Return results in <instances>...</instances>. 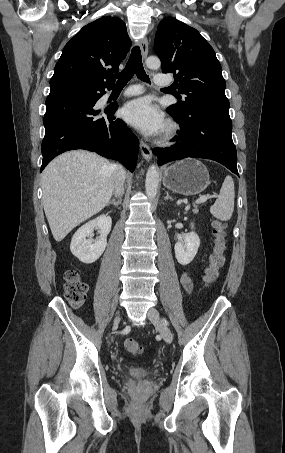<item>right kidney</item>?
<instances>
[{
	"label": "right kidney",
	"instance_id": "right-kidney-1",
	"mask_svg": "<svg viewBox=\"0 0 285 453\" xmlns=\"http://www.w3.org/2000/svg\"><path fill=\"white\" fill-rule=\"evenodd\" d=\"M111 226V217L105 214L81 226L71 240L70 250L72 254L83 263L91 264L95 262L103 254L107 246V235L111 230ZM95 228L100 230V237L93 242L87 237L93 233Z\"/></svg>",
	"mask_w": 285,
	"mask_h": 453
}]
</instances>
